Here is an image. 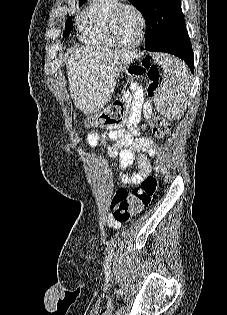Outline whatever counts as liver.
<instances>
[{"label":"liver","mask_w":227,"mask_h":315,"mask_svg":"<svg viewBox=\"0 0 227 315\" xmlns=\"http://www.w3.org/2000/svg\"><path fill=\"white\" fill-rule=\"evenodd\" d=\"M126 51L85 46L75 49L66 62L70 96L84 114L101 110L111 99L118 77L132 62Z\"/></svg>","instance_id":"6515ba94"}]
</instances>
